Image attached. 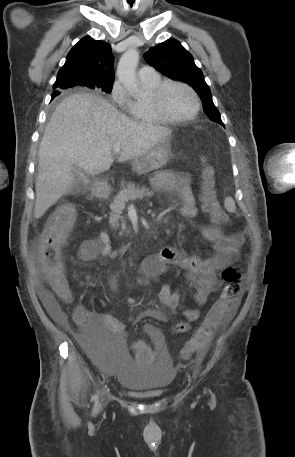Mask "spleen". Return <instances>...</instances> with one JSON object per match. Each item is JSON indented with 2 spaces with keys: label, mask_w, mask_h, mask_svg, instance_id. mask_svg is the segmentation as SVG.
<instances>
[{
  "label": "spleen",
  "mask_w": 295,
  "mask_h": 457,
  "mask_svg": "<svg viewBox=\"0 0 295 457\" xmlns=\"http://www.w3.org/2000/svg\"><path fill=\"white\" fill-rule=\"evenodd\" d=\"M224 206L229 212H234L236 209L235 202L231 197L225 199Z\"/></svg>",
  "instance_id": "spleen-1"
}]
</instances>
